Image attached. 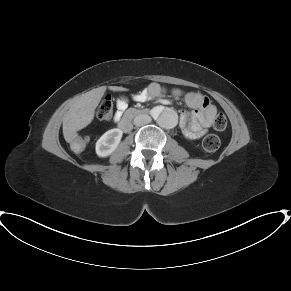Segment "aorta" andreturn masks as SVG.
I'll use <instances>...</instances> for the list:
<instances>
[{"mask_svg":"<svg viewBox=\"0 0 291 291\" xmlns=\"http://www.w3.org/2000/svg\"><path fill=\"white\" fill-rule=\"evenodd\" d=\"M154 117L158 125L162 128L171 129L176 126L177 115L171 109H163L160 111H155Z\"/></svg>","mask_w":291,"mask_h":291,"instance_id":"762f6f07","label":"aorta"}]
</instances>
